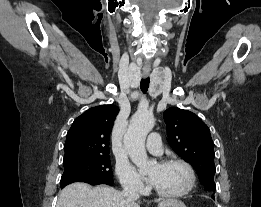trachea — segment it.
Instances as JSON below:
<instances>
[{
	"mask_svg": "<svg viewBox=\"0 0 261 207\" xmlns=\"http://www.w3.org/2000/svg\"><path fill=\"white\" fill-rule=\"evenodd\" d=\"M150 78H144L140 82V88L143 93H146L149 88Z\"/></svg>",
	"mask_w": 261,
	"mask_h": 207,
	"instance_id": "1",
	"label": "trachea"
}]
</instances>
